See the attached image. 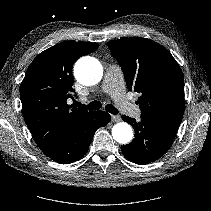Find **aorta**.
<instances>
[{
  "mask_svg": "<svg viewBox=\"0 0 211 211\" xmlns=\"http://www.w3.org/2000/svg\"><path fill=\"white\" fill-rule=\"evenodd\" d=\"M74 75L78 82L85 86L97 84L103 75L102 65L92 57L79 59L74 67ZM112 136L120 144H127L133 138V131L128 123L120 122L113 126Z\"/></svg>",
  "mask_w": 211,
  "mask_h": 211,
  "instance_id": "1",
  "label": "aorta"
}]
</instances>
